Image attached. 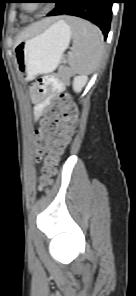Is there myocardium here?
<instances>
[{"mask_svg":"<svg viewBox=\"0 0 136 296\" xmlns=\"http://www.w3.org/2000/svg\"><path fill=\"white\" fill-rule=\"evenodd\" d=\"M23 6H24L25 9H28V3L23 4ZM28 10L29 11H34L35 10V7H32L30 9H28Z\"/></svg>","mask_w":136,"mask_h":296,"instance_id":"obj_1","label":"myocardium"}]
</instances>
